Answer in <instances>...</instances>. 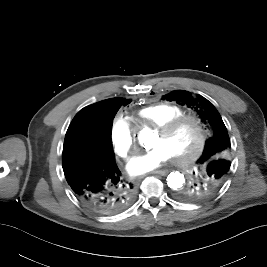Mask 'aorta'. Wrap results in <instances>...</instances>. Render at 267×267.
<instances>
[{"mask_svg": "<svg viewBox=\"0 0 267 267\" xmlns=\"http://www.w3.org/2000/svg\"><path fill=\"white\" fill-rule=\"evenodd\" d=\"M155 135L152 130L150 129H143L140 131L138 139L141 145L145 147L151 146V141L154 139ZM185 183V177L182 173L175 171L171 172L167 176V185L172 190H180Z\"/></svg>", "mask_w": 267, "mask_h": 267, "instance_id": "762f6f07", "label": "aorta"}]
</instances>
